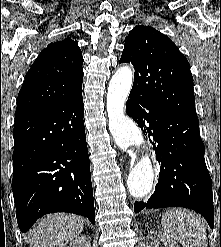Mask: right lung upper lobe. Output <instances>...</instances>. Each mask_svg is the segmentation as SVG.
Returning <instances> with one entry per match:
<instances>
[{"label":"right lung upper lobe","instance_id":"cb5924a9","mask_svg":"<svg viewBox=\"0 0 221 247\" xmlns=\"http://www.w3.org/2000/svg\"><path fill=\"white\" fill-rule=\"evenodd\" d=\"M82 64L81 49L73 39L50 43L26 74L15 116L60 105L81 95Z\"/></svg>","mask_w":221,"mask_h":247}]
</instances>
